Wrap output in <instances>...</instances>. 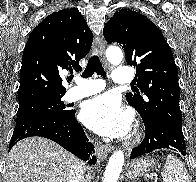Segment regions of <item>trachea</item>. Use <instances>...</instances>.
Returning <instances> with one entry per match:
<instances>
[{"instance_id": "trachea-1", "label": "trachea", "mask_w": 196, "mask_h": 182, "mask_svg": "<svg viewBox=\"0 0 196 182\" xmlns=\"http://www.w3.org/2000/svg\"><path fill=\"white\" fill-rule=\"evenodd\" d=\"M94 73L100 76H106V72L104 71V68L102 67V64L97 55H93L88 60V64L82 74V77L88 78V77H91ZM72 77L73 76H71L69 79L71 80Z\"/></svg>"}]
</instances>
